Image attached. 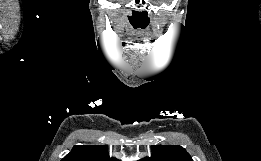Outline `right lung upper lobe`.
<instances>
[{
	"instance_id": "cb5924a9",
	"label": "right lung upper lobe",
	"mask_w": 261,
	"mask_h": 161,
	"mask_svg": "<svg viewBox=\"0 0 261 161\" xmlns=\"http://www.w3.org/2000/svg\"><path fill=\"white\" fill-rule=\"evenodd\" d=\"M61 161H119L110 158L105 145H76Z\"/></svg>"
}]
</instances>
